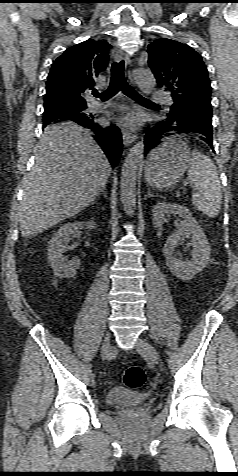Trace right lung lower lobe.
Instances as JSON below:
<instances>
[{
    "mask_svg": "<svg viewBox=\"0 0 238 476\" xmlns=\"http://www.w3.org/2000/svg\"><path fill=\"white\" fill-rule=\"evenodd\" d=\"M74 122L94 132V139L114 167L122 153V136L118 127L114 124L109 127H102L94 121V117ZM46 125L44 124L43 126L46 127Z\"/></svg>",
    "mask_w": 238,
    "mask_h": 476,
    "instance_id": "obj_1",
    "label": "right lung lower lobe"
}]
</instances>
